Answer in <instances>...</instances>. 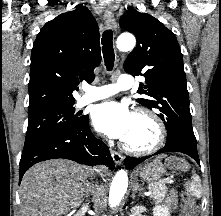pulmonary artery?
<instances>
[{
	"label": "pulmonary artery",
	"instance_id": "pulmonary-artery-1",
	"mask_svg": "<svg viewBox=\"0 0 221 216\" xmlns=\"http://www.w3.org/2000/svg\"><path fill=\"white\" fill-rule=\"evenodd\" d=\"M133 80L128 74H121L115 83L101 86H86L84 94L77 101V106L82 107L94 101H98L116 94L119 91L133 87Z\"/></svg>",
	"mask_w": 221,
	"mask_h": 216
}]
</instances>
